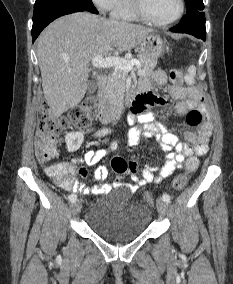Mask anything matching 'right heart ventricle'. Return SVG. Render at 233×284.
Returning a JSON list of instances; mask_svg holds the SVG:
<instances>
[{
	"instance_id": "e07e8e85",
	"label": "right heart ventricle",
	"mask_w": 233,
	"mask_h": 284,
	"mask_svg": "<svg viewBox=\"0 0 233 284\" xmlns=\"http://www.w3.org/2000/svg\"><path fill=\"white\" fill-rule=\"evenodd\" d=\"M111 16L117 20L139 21L140 18L136 14L132 0H117L111 10Z\"/></svg>"
}]
</instances>
